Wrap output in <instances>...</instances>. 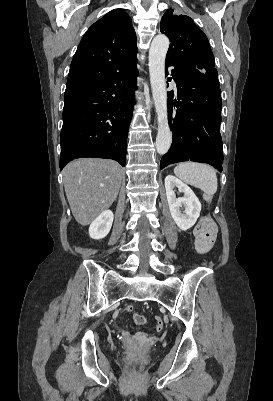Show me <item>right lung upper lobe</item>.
Here are the masks:
<instances>
[{"instance_id":"right-lung-upper-lobe-1","label":"right lung upper lobe","mask_w":273,"mask_h":401,"mask_svg":"<svg viewBox=\"0 0 273 401\" xmlns=\"http://www.w3.org/2000/svg\"><path fill=\"white\" fill-rule=\"evenodd\" d=\"M137 51L129 15L122 9L110 11L83 36L70 66L65 95L95 85L134 63Z\"/></svg>"}]
</instances>
